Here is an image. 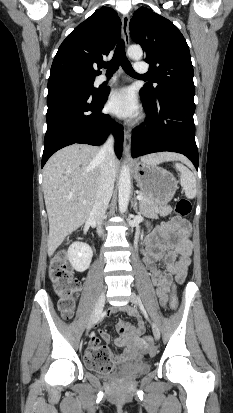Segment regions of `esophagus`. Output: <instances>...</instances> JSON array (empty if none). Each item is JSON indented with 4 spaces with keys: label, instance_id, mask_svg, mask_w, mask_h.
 <instances>
[{
    "label": "esophagus",
    "instance_id": "1",
    "mask_svg": "<svg viewBox=\"0 0 233 413\" xmlns=\"http://www.w3.org/2000/svg\"><path fill=\"white\" fill-rule=\"evenodd\" d=\"M129 22L130 17L128 14L122 16V32L125 45L128 46L130 43V34H129ZM124 155L127 159H130V148H131V134L128 130L124 129Z\"/></svg>",
    "mask_w": 233,
    "mask_h": 413
}]
</instances>
